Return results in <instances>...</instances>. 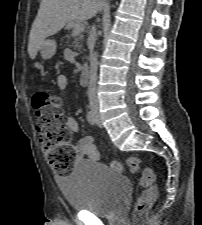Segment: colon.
I'll use <instances>...</instances> for the list:
<instances>
[{"label": "colon", "instance_id": "colon-1", "mask_svg": "<svg viewBox=\"0 0 202 225\" xmlns=\"http://www.w3.org/2000/svg\"><path fill=\"white\" fill-rule=\"evenodd\" d=\"M34 102L37 105L35 129L47 163L58 176L68 175L72 172L77 149L71 144L72 133L66 126L61 107L52 92L46 90L36 91ZM126 164L130 173H140L142 192L134 208V217L138 221L157 199L156 177L139 157H130ZM112 165L120 167L116 160L112 161Z\"/></svg>", "mask_w": 202, "mask_h": 225}]
</instances>
